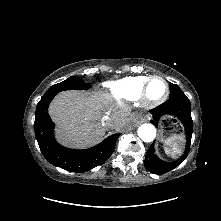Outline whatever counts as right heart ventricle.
I'll return each mask as SVG.
<instances>
[{
  "instance_id": "1",
  "label": "right heart ventricle",
  "mask_w": 221,
  "mask_h": 221,
  "mask_svg": "<svg viewBox=\"0 0 221 221\" xmlns=\"http://www.w3.org/2000/svg\"><path fill=\"white\" fill-rule=\"evenodd\" d=\"M149 76L126 77L105 84L112 97L117 101L130 102L140 98L142 88Z\"/></svg>"
}]
</instances>
